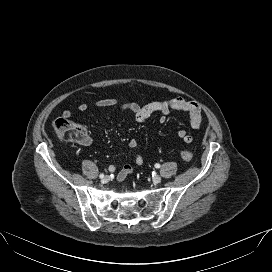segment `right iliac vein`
Listing matches in <instances>:
<instances>
[{
    "mask_svg": "<svg viewBox=\"0 0 272 272\" xmlns=\"http://www.w3.org/2000/svg\"><path fill=\"white\" fill-rule=\"evenodd\" d=\"M109 180H110V177L109 176H105V177L102 178L101 182L102 183H107Z\"/></svg>",
    "mask_w": 272,
    "mask_h": 272,
    "instance_id": "right-iliac-vein-1",
    "label": "right iliac vein"
}]
</instances>
